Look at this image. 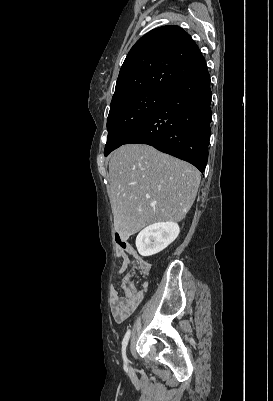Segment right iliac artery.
Returning a JSON list of instances; mask_svg holds the SVG:
<instances>
[{"label":"right iliac artery","instance_id":"right-iliac-artery-1","mask_svg":"<svg viewBox=\"0 0 273 401\" xmlns=\"http://www.w3.org/2000/svg\"><path fill=\"white\" fill-rule=\"evenodd\" d=\"M129 337H130V330L127 331V333L125 334V337H124V339L122 341V357H123V361H124V369L126 371H128V366H127L128 359H127V356H126V347H127V344H128Z\"/></svg>","mask_w":273,"mask_h":401}]
</instances>
